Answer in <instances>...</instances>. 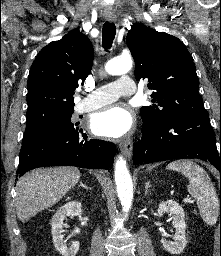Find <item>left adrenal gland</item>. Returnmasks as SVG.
Here are the masks:
<instances>
[{"instance_id": "a2214340", "label": "left adrenal gland", "mask_w": 221, "mask_h": 256, "mask_svg": "<svg viewBox=\"0 0 221 256\" xmlns=\"http://www.w3.org/2000/svg\"><path fill=\"white\" fill-rule=\"evenodd\" d=\"M151 187H152V185L150 184V182H149V181L146 182V185H145V194H147L148 189L151 188Z\"/></svg>"}]
</instances>
